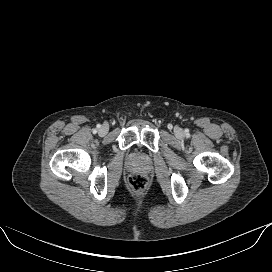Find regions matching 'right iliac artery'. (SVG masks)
<instances>
[{"instance_id": "obj_1", "label": "right iliac artery", "mask_w": 272, "mask_h": 272, "mask_svg": "<svg viewBox=\"0 0 272 272\" xmlns=\"http://www.w3.org/2000/svg\"><path fill=\"white\" fill-rule=\"evenodd\" d=\"M98 128H100L101 126L100 125H97Z\"/></svg>"}]
</instances>
